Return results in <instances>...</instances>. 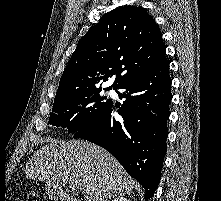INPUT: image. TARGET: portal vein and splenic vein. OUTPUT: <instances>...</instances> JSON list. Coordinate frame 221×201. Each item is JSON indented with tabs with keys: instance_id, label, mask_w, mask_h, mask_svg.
I'll return each mask as SVG.
<instances>
[{
	"instance_id": "1",
	"label": "portal vein and splenic vein",
	"mask_w": 221,
	"mask_h": 201,
	"mask_svg": "<svg viewBox=\"0 0 221 201\" xmlns=\"http://www.w3.org/2000/svg\"><path fill=\"white\" fill-rule=\"evenodd\" d=\"M71 184L74 188H77L80 190L83 189V184L79 180H73V181H71Z\"/></svg>"
}]
</instances>
